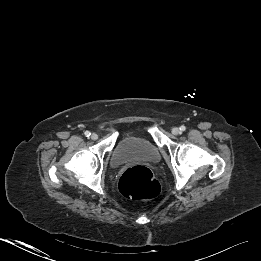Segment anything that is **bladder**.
Wrapping results in <instances>:
<instances>
[{"mask_svg":"<svg viewBox=\"0 0 261 261\" xmlns=\"http://www.w3.org/2000/svg\"><path fill=\"white\" fill-rule=\"evenodd\" d=\"M159 159V150L150 140L140 137H124L114 147L111 165L118 167L135 161L156 163Z\"/></svg>","mask_w":261,"mask_h":261,"instance_id":"obj_1","label":"bladder"}]
</instances>
